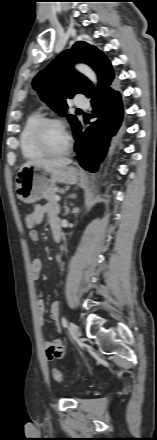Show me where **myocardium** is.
Instances as JSON below:
<instances>
[{
	"instance_id": "myocardium-1",
	"label": "myocardium",
	"mask_w": 157,
	"mask_h": 440,
	"mask_svg": "<svg viewBox=\"0 0 157 440\" xmlns=\"http://www.w3.org/2000/svg\"><path fill=\"white\" fill-rule=\"evenodd\" d=\"M49 125H59L66 132L68 142H67L66 147L64 149H62L61 151H51L46 147V144L43 139V132H44V129ZM32 142L39 151H41L44 155H49V156L66 155L71 151L72 146H73L72 137L68 133V131L66 130L65 124L60 119H57V118H43V119H41L34 126V128L32 130Z\"/></svg>"
}]
</instances>
